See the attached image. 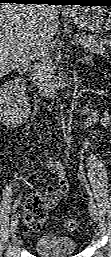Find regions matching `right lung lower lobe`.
Instances as JSON below:
<instances>
[{
	"label": "right lung lower lobe",
	"instance_id": "98d812e1",
	"mask_svg": "<svg viewBox=\"0 0 111 257\" xmlns=\"http://www.w3.org/2000/svg\"><path fill=\"white\" fill-rule=\"evenodd\" d=\"M53 0H0V3H18V4H52Z\"/></svg>",
	"mask_w": 111,
	"mask_h": 257
}]
</instances>
